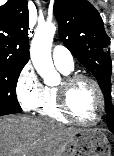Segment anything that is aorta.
Segmentation results:
<instances>
[{
  "mask_svg": "<svg viewBox=\"0 0 114 156\" xmlns=\"http://www.w3.org/2000/svg\"><path fill=\"white\" fill-rule=\"evenodd\" d=\"M55 31L56 26L51 22L38 26L30 47L32 63L46 84H54L60 79L51 58V47Z\"/></svg>",
  "mask_w": 114,
  "mask_h": 156,
  "instance_id": "aorta-1",
  "label": "aorta"
}]
</instances>
